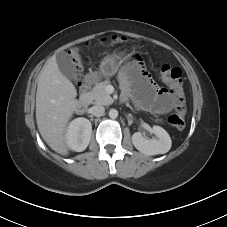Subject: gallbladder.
Listing matches in <instances>:
<instances>
[{"mask_svg":"<svg viewBox=\"0 0 227 227\" xmlns=\"http://www.w3.org/2000/svg\"><path fill=\"white\" fill-rule=\"evenodd\" d=\"M56 62L64 76H66L69 80H75L76 68L66 52L58 53L56 55Z\"/></svg>","mask_w":227,"mask_h":227,"instance_id":"gallbladder-1","label":"gallbladder"}]
</instances>
